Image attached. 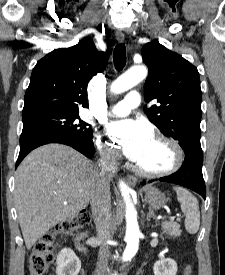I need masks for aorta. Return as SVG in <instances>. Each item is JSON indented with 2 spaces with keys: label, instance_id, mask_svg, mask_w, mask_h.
I'll list each match as a JSON object with an SVG mask.
<instances>
[{
  "label": "aorta",
  "instance_id": "aorta-1",
  "mask_svg": "<svg viewBox=\"0 0 225 275\" xmlns=\"http://www.w3.org/2000/svg\"><path fill=\"white\" fill-rule=\"evenodd\" d=\"M147 68L145 66H136L127 70L124 74L119 76L111 85L110 90L112 93H123L136 84L141 82L147 76ZM119 188L121 195L124 199L126 206V235L125 240L127 242L126 248L123 253V260H130L138 251L139 246V225L137 220V211L132 203L130 193L131 188L124 182H119Z\"/></svg>",
  "mask_w": 225,
  "mask_h": 275
}]
</instances>
